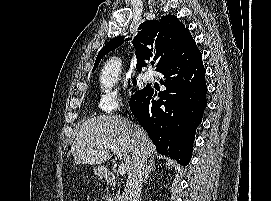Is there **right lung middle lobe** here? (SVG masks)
<instances>
[{
	"label": "right lung middle lobe",
	"instance_id": "obj_1",
	"mask_svg": "<svg viewBox=\"0 0 271 201\" xmlns=\"http://www.w3.org/2000/svg\"><path fill=\"white\" fill-rule=\"evenodd\" d=\"M133 84L136 85V80H135V79L133 80ZM146 89H147V87H145V88L142 89V90H134V93L132 94V96L138 95V94H140V93H143ZM132 96H131V97H132Z\"/></svg>",
	"mask_w": 271,
	"mask_h": 201
}]
</instances>
